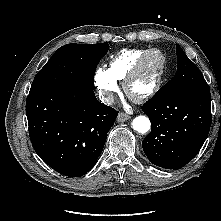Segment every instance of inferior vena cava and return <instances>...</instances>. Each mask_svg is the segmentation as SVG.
<instances>
[{"label": "inferior vena cava", "instance_id": "1", "mask_svg": "<svg viewBox=\"0 0 221 221\" xmlns=\"http://www.w3.org/2000/svg\"><path fill=\"white\" fill-rule=\"evenodd\" d=\"M99 98L106 105H112L114 103V96L112 93L107 92L100 94Z\"/></svg>", "mask_w": 221, "mask_h": 221}]
</instances>
